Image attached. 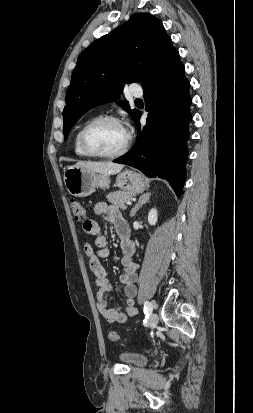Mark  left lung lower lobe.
<instances>
[{
  "mask_svg": "<svg viewBox=\"0 0 253 413\" xmlns=\"http://www.w3.org/2000/svg\"><path fill=\"white\" fill-rule=\"evenodd\" d=\"M184 71L175 49L155 78L143 86L145 110L149 111L146 125L141 129L139 112L133 148L113 161L139 169L147 177L167 180L177 196L182 194L186 179V142L192 118L190 84Z\"/></svg>",
  "mask_w": 253,
  "mask_h": 413,
  "instance_id": "left-lung-lower-lobe-1",
  "label": "left lung lower lobe"
}]
</instances>
